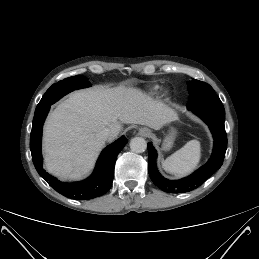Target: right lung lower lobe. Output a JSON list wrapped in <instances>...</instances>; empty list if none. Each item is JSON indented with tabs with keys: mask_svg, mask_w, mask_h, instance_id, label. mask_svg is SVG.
Masks as SVG:
<instances>
[{
	"mask_svg": "<svg viewBox=\"0 0 259 259\" xmlns=\"http://www.w3.org/2000/svg\"><path fill=\"white\" fill-rule=\"evenodd\" d=\"M50 106L35 111L30 136V150L34 166L39 175L60 194L76 199L89 200L105 194L111 187L117 155L128 142L125 136L108 145L100 154L93 174L86 180L64 183L49 175L42 168L41 139L42 127Z\"/></svg>",
	"mask_w": 259,
	"mask_h": 259,
	"instance_id": "1",
	"label": "right lung lower lobe"
}]
</instances>
